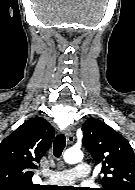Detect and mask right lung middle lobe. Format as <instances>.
<instances>
[{
	"mask_svg": "<svg viewBox=\"0 0 135 190\" xmlns=\"http://www.w3.org/2000/svg\"><path fill=\"white\" fill-rule=\"evenodd\" d=\"M38 188L35 186H17V185H8L2 184L0 185V190H37Z\"/></svg>",
	"mask_w": 135,
	"mask_h": 190,
	"instance_id": "1",
	"label": "right lung middle lobe"
}]
</instances>
